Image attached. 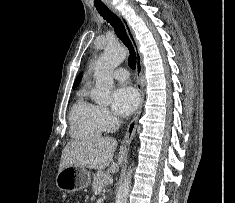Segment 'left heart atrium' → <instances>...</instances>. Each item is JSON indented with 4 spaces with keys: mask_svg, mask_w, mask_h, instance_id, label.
Instances as JSON below:
<instances>
[{
    "mask_svg": "<svg viewBox=\"0 0 235 203\" xmlns=\"http://www.w3.org/2000/svg\"><path fill=\"white\" fill-rule=\"evenodd\" d=\"M139 104L137 91L127 85L116 88L111 96V106L114 113L120 117L132 114Z\"/></svg>",
    "mask_w": 235,
    "mask_h": 203,
    "instance_id": "39dd6f15",
    "label": "left heart atrium"
}]
</instances>
